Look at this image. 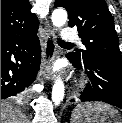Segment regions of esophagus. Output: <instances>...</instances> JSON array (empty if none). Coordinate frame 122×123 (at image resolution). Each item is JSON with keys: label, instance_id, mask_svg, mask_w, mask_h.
I'll use <instances>...</instances> for the list:
<instances>
[{"label": "esophagus", "instance_id": "esophagus-1", "mask_svg": "<svg viewBox=\"0 0 122 123\" xmlns=\"http://www.w3.org/2000/svg\"><path fill=\"white\" fill-rule=\"evenodd\" d=\"M56 54L55 30L50 24H47L45 27V42L40 73L44 79L49 81H53L56 78V75L52 71V63Z\"/></svg>", "mask_w": 122, "mask_h": 123}]
</instances>
